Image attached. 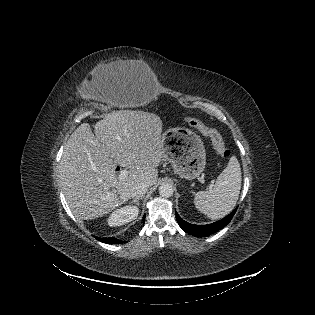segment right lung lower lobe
I'll return each instance as SVG.
<instances>
[{"mask_svg":"<svg viewBox=\"0 0 315 315\" xmlns=\"http://www.w3.org/2000/svg\"><path fill=\"white\" fill-rule=\"evenodd\" d=\"M145 218V217H144ZM97 240L103 242V243H107V244H115V243H123L122 241L120 240H117L116 238L114 237H109V238H99V237H96Z\"/></svg>","mask_w":315,"mask_h":315,"instance_id":"obj_1","label":"right lung lower lobe"}]
</instances>
